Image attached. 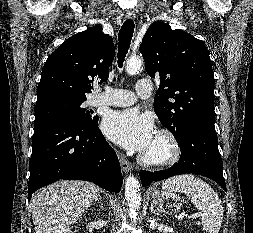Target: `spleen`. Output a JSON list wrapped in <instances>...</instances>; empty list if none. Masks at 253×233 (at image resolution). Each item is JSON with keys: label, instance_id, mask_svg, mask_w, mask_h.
Returning <instances> with one entry per match:
<instances>
[{"label": "spleen", "instance_id": "3e777b00", "mask_svg": "<svg viewBox=\"0 0 253 233\" xmlns=\"http://www.w3.org/2000/svg\"><path fill=\"white\" fill-rule=\"evenodd\" d=\"M162 187L184 193L203 212L202 225L208 233H219L223 220V206L218 194L209 184L191 174L166 180Z\"/></svg>", "mask_w": 253, "mask_h": 233}]
</instances>
